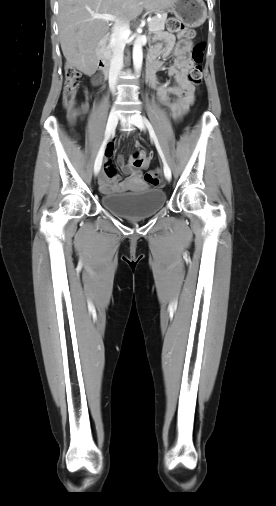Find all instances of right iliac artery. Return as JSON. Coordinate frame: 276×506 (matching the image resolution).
Listing matches in <instances>:
<instances>
[{
  "label": "right iliac artery",
  "instance_id": "82829eb1",
  "mask_svg": "<svg viewBox=\"0 0 276 506\" xmlns=\"http://www.w3.org/2000/svg\"><path fill=\"white\" fill-rule=\"evenodd\" d=\"M104 145H105V142L103 143L102 147L100 148L99 153L103 150ZM101 164H102V160H100V161H96V162H95V165H94V171H98V170H100V168H101Z\"/></svg>",
  "mask_w": 276,
  "mask_h": 506
}]
</instances>
